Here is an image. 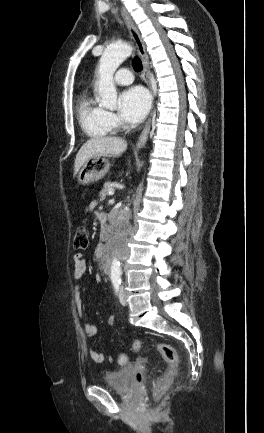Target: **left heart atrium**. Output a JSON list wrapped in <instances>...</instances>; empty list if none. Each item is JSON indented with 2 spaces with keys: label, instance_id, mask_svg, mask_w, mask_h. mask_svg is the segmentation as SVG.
<instances>
[{
  "label": "left heart atrium",
  "instance_id": "39dd6f15",
  "mask_svg": "<svg viewBox=\"0 0 264 433\" xmlns=\"http://www.w3.org/2000/svg\"><path fill=\"white\" fill-rule=\"evenodd\" d=\"M150 107V97L142 87H131L119 96L120 117L129 123L144 119Z\"/></svg>",
  "mask_w": 264,
  "mask_h": 433
}]
</instances>
